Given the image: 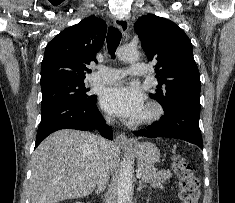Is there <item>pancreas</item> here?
I'll use <instances>...</instances> for the list:
<instances>
[{
    "instance_id": "cf45deb5",
    "label": "pancreas",
    "mask_w": 235,
    "mask_h": 203,
    "mask_svg": "<svg viewBox=\"0 0 235 203\" xmlns=\"http://www.w3.org/2000/svg\"><path fill=\"white\" fill-rule=\"evenodd\" d=\"M138 171L142 173L144 182H149L156 186H160L161 183H164L172 176L169 170H157L152 165L138 164Z\"/></svg>"
}]
</instances>
